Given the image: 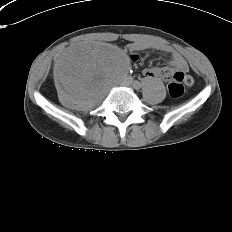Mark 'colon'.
I'll list each match as a JSON object with an SVG mask.
<instances>
[{
	"label": "colon",
	"instance_id": "5ec220e1",
	"mask_svg": "<svg viewBox=\"0 0 232 232\" xmlns=\"http://www.w3.org/2000/svg\"><path fill=\"white\" fill-rule=\"evenodd\" d=\"M192 79L184 74H175L168 84V91L170 96L177 98L184 93V84H191Z\"/></svg>",
	"mask_w": 232,
	"mask_h": 232
}]
</instances>
